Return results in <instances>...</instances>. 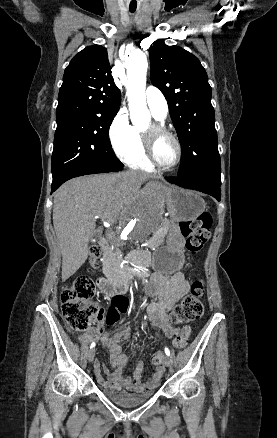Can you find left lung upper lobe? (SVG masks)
<instances>
[{
  "instance_id": "1",
  "label": "left lung upper lobe",
  "mask_w": 277,
  "mask_h": 438,
  "mask_svg": "<svg viewBox=\"0 0 277 438\" xmlns=\"http://www.w3.org/2000/svg\"><path fill=\"white\" fill-rule=\"evenodd\" d=\"M158 41L149 48L151 80L167 99L182 147L179 177L220 175L212 90L206 71L193 54Z\"/></svg>"
}]
</instances>
